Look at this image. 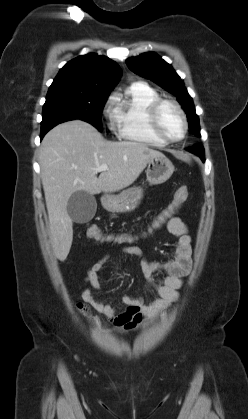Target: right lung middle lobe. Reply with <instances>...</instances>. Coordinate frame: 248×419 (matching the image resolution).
Listing matches in <instances>:
<instances>
[{
  "label": "right lung middle lobe",
  "mask_w": 248,
  "mask_h": 419,
  "mask_svg": "<svg viewBox=\"0 0 248 419\" xmlns=\"http://www.w3.org/2000/svg\"><path fill=\"white\" fill-rule=\"evenodd\" d=\"M108 95L75 89H49L41 126L60 119H81L102 131L100 115Z\"/></svg>",
  "instance_id": "right-lung-middle-lobe-1"
}]
</instances>
